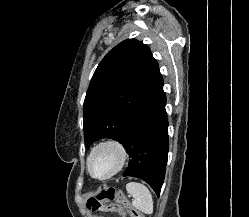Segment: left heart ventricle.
Segmentation results:
<instances>
[{
  "mask_svg": "<svg viewBox=\"0 0 249 217\" xmlns=\"http://www.w3.org/2000/svg\"><path fill=\"white\" fill-rule=\"evenodd\" d=\"M116 155L113 151L105 149L99 151L92 159V171L95 175H103L114 165Z\"/></svg>",
  "mask_w": 249,
  "mask_h": 217,
  "instance_id": "left-heart-ventricle-1",
  "label": "left heart ventricle"
}]
</instances>
